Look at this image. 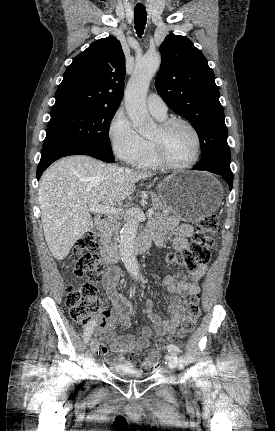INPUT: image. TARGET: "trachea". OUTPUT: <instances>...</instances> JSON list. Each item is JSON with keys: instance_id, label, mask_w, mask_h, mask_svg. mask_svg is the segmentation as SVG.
Returning <instances> with one entry per match:
<instances>
[{"instance_id": "trachea-1", "label": "trachea", "mask_w": 275, "mask_h": 431, "mask_svg": "<svg viewBox=\"0 0 275 431\" xmlns=\"http://www.w3.org/2000/svg\"><path fill=\"white\" fill-rule=\"evenodd\" d=\"M147 21V12L145 8H135L134 12V23L135 30L139 37L144 33L145 25Z\"/></svg>"}]
</instances>
